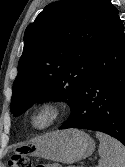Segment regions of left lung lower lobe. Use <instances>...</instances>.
I'll return each instance as SVG.
<instances>
[{
  "mask_svg": "<svg viewBox=\"0 0 125 167\" xmlns=\"http://www.w3.org/2000/svg\"><path fill=\"white\" fill-rule=\"evenodd\" d=\"M71 110L59 129L100 131L125 145V34L119 16L101 41Z\"/></svg>",
  "mask_w": 125,
  "mask_h": 167,
  "instance_id": "1",
  "label": "left lung lower lobe"
}]
</instances>
